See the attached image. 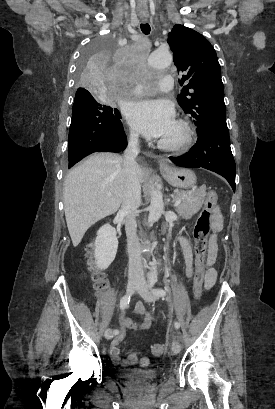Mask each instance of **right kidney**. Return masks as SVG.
<instances>
[{
	"instance_id": "right-kidney-1",
	"label": "right kidney",
	"mask_w": 275,
	"mask_h": 409,
	"mask_svg": "<svg viewBox=\"0 0 275 409\" xmlns=\"http://www.w3.org/2000/svg\"><path fill=\"white\" fill-rule=\"evenodd\" d=\"M116 235V229L111 225H103L99 229L95 241V263L98 269H108L113 263L118 249Z\"/></svg>"
}]
</instances>
